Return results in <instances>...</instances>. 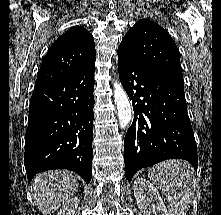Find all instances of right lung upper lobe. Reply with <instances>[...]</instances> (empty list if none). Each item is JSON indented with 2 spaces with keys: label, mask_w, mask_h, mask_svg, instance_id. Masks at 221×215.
<instances>
[{
  "label": "right lung upper lobe",
  "mask_w": 221,
  "mask_h": 215,
  "mask_svg": "<svg viewBox=\"0 0 221 215\" xmlns=\"http://www.w3.org/2000/svg\"><path fill=\"white\" fill-rule=\"evenodd\" d=\"M93 36L83 27L63 33L42 61L34 88L47 86L82 71L95 61Z\"/></svg>",
  "instance_id": "1"
}]
</instances>
